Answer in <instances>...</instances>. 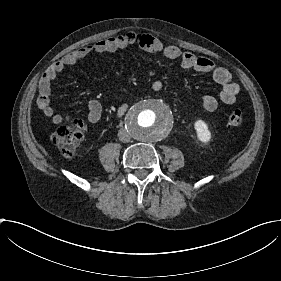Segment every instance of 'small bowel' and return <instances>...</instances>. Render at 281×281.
<instances>
[{
    "instance_id": "1",
    "label": "small bowel",
    "mask_w": 281,
    "mask_h": 281,
    "mask_svg": "<svg viewBox=\"0 0 281 281\" xmlns=\"http://www.w3.org/2000/svg\"><path fill=\"white\" fill-rule=\"evenodd\" d=\"M128 47H138L145 51L157 52L167 60H178L180 66L187 70L211 73L214 79L222 85V88L219 96L211 94H202L200 96V103L205 110H216L220 102L227 105H233L235 103L236 96L239 92V84L232 79L226 68L217 65L208 58L198 57L192 53L184 52L177 46L166 45L161 39L154 38L150 34L129 32L125 35L112 36L84 45L55 63L44 74L39 84L37 105L42 114L50 118L54 125L69 123L70 117L56 114L50 103L52 81L68 66L76 64L90 54H106ZM151 88L154 91H161L163 83L160 80H154L151 83ZM88 109V123H97L102 114L101 102L97 99H90Z\"/></svg>"
}]
</instances>
